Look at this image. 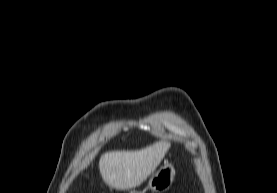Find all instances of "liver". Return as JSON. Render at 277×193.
Here are the masks:
<instances>
[{
	"label": "liver",
	"instance_id": "1",
	"mask_svg": "<svg viewBox=\"0 0 277 193\" xmlns=\"http://www.w3.org/2000/svg\"><path fill=\"white\" fill-rule=\"evenodd\" d=\"M169 148V142L159 141L137 151L107 152L100 157L101 176L116 190L135 188L154 172Z\"/></svg>",
	"mask_w": 277,
	"mask_h": 193
}]
</instances>
